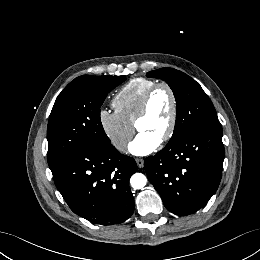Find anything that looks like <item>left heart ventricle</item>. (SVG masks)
I'll return each instance as SVG.
<instances>
[{
	"instance_id": "1",
	"label": "left heart ventricle",
	"mask_w": 260,
	"mask_h": 260,
	"mask_svg": "<svg viewBox=\"0 0 260 260\" xmlns=\"http://www.w3.org/2000/svg\"><path fill=\"white\" fill-rule=\"evenodd\" d=\"M172 102L169 93L161 89L151 99L148 114L137 124V131L148 133L159 140L165 134L171 117Z\"/></svg>"
}]
</instances>
